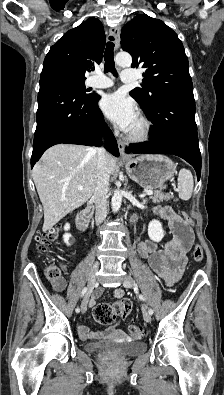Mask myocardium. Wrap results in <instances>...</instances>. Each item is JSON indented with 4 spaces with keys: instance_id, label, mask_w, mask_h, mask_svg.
Here are the masks:
<instances>
[{
    "instance_id": "1",
    "label": "myocardium",
    "mask_w": 224,
    "mask_h": 395,
    "mask_svg": "<svg viewBox=\"0 0 224 395\" xmlns=\"http://www.w3.org/2000/svg\"><path fill=\"white\" fill-rule=\"evenodd\" d=\"M151 122L144 116H140L137 120V128L128 131L126 139L130 142L141 143L147 141L151 137Z\"/></svg>"
}]
</instances>
